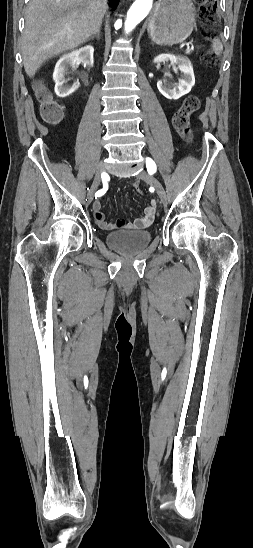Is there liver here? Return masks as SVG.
Masks as SVG:
<instances>
[{
    "mask_svg": "<svg viewBox=\"0 0 253 548\" xmlns=\"http://www.w3.org/2000/svg\"><path fill=\"white\" fill-rule=\"evenodd\" d=\"M107 9L106 0H30L21 39L26 74L33 77L46 60L85 43Z\"/></svg>",
    "mask_w": 253,
    "mask_h": 548,
    "instance_id": "obj_1",
    "label": "liver"
}]
</instances>
